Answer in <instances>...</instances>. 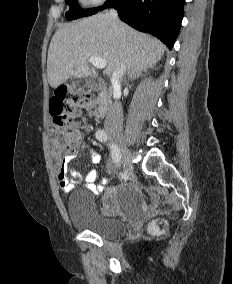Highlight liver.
<instances>
[{
	"instance_id": "1",
	"label": "liver",
	"mask_w": 233,
	"mask_h": 284,
	"mask_svg": "<svg viewBox=\"0 0 233 284\" xmlns=\"http://www.w3.org/2000/svg\"><path fill=\"white\" fill-rule=\"evenodd\" d=\"M164 51L158 39L99 13L56 31L48 50V82L56 88L70 78L88 77L91 56L105 59L106 75H113L123 62L128 77L135 79L156 65Z\"/></svg>"
}]
</instances>
